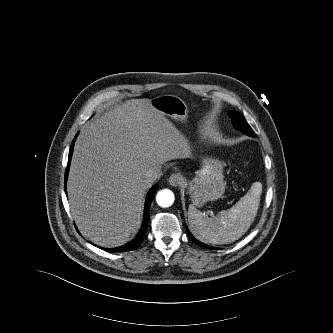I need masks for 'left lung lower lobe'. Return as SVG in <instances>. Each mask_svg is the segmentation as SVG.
<instances>
[{
    "label": "left lung lower lobe",
    "instance_id": "obj_1",
    "mask_svg": "<svg viewBox=\"0 0 333 333\" xmlns=\"http://www.w3.org/2000/svg\"><path fill=\"white\" fill-rule=\"evenodd\" d=\"M188 234H189L190 238H191L196 244H198L199 246H202V247H208L207 245H205V244L199 242L198 240H196V239L191 235V233H190L189 231H188Z\"/></svg>",
    "mask_w": 333,
    "mask_h": 333
}]
</instances>
